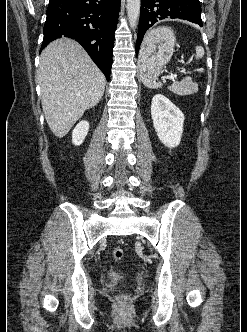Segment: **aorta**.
I'll use <instances>...</instances> for the list:
<instances>
[{
  "instance_id": "aorta-1",
  "label": "aorta",
  "mask_w": 247,
  "mask_h": 332,
  "mask_svg": "<svg viewBox=\"0 0 247 332\" xmlns=\"http://www.w3.org/2000/svg\"><path fill=\"white\" fill-rule=\"evenodd\" d=\"M141 0H127V15L131 28H136L140 14Z\"/></svg>"
}]
</instances>
